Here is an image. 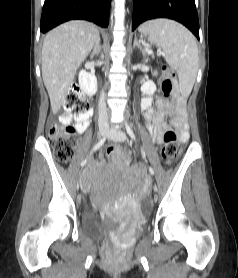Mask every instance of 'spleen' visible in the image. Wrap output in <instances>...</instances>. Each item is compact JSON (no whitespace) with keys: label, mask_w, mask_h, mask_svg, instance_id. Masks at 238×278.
<instances>
[{"label":"spleen","mask_w":238,"mask_h":278,"mask_svg":"<svg viewBox=\"0 0 238 278\" xmlns=\"http://www.w3.org/2000/svg\"><path fill=\"white\" fill-rule=\"evenodd\" d=\"M140 29L149 33L148 40L163 49L165 59L178 73L183 94L191 92L198 71V47L194 35L183 25L168 19L144 23Z\"/></svg>","instance_id":"obj_1"}]
</instances>
